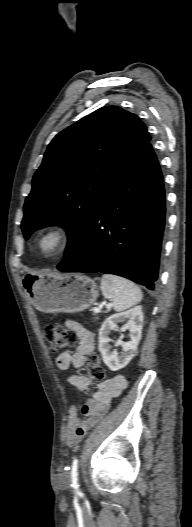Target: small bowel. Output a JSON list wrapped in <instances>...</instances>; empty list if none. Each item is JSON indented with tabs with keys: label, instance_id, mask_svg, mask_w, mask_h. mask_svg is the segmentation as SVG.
<instances>
[{
	"label": "small bowel",
	"instance_id": "obj_1",
	"mask_svg": "<svg viewBox=\"0 0 192 527\" xmlns=\"http://www.w3.org/2000/svg\"><path fill=\"white\" fill-rule=\"evenodd\" d=\"M66 326L78 337V345L74 351L61 352L56 358L60 370L79 369L84 366L86 356L94 350V335L81 323L68 320ZM68 383L79 391H86L92 385V379L81 374L70 375ZM127 386L123 376H115L100 383L92 398L83 404L73 406L68 411L65 430V441L69 446L75 445L86 435L88 429L99 422L104 412L109 408L113 398L118 397ZM86 416L83 419L81 417Z\"/></svg>",
	"mask_w": 192,
	"mask_h": 527
}]
</instances>
